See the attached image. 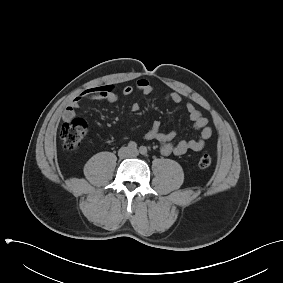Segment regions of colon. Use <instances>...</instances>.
<instances>
[{
    "mask_svg": "<svg viewBox=\"0 0 283 283\" xmlns=\"http://www.w3.org/2000/svg\"><path fill=\"white\" fill-rule=\"evenodd\" d=\"M88 131V125L83 119H74L62 124L60 129V138L63 146L68 151L77 149ZM212 164V158L208 154H202L198 158L200 168H208Z\"/></svg>",
    "mask_w": 283,
    "mask_h": 283,
    "instance_id": "5ec220e1",
    "label": "colon"
}]
</instances>
